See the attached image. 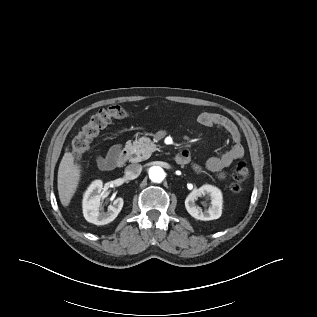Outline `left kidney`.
Instances as JSON below:
<instances>
[{
    "mask_svg": "<svg viewBox=\"0 0 317 317\" xmlns=\"http://www.w3.org/2000/svg\"><path fill=\"white\" fill-rule=\"evenodd\" d=\"M207 195L211 200L210 207L202 210L196 207L195 201L198 197ZM223 197L220 189L209 184L201 186L189 193L185 199L187 212L198 220L209 221L218 219L222 214Z\"/></svg>",
    "mask_w": 317,
    "mask_h": 317,
    "instance_id": "obj_1",
    "label": "left kidney"
}]
</instances>
